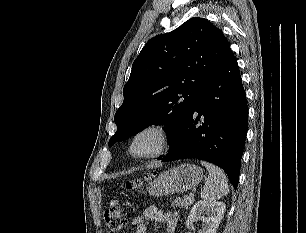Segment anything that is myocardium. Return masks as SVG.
<instances>
[{
	"label": "myocardium",
	"mask_w": 306,
	"mask_h": 233,
	"mask_svg": "<svg viewBox=\"0 0 306 233\" xmlns=\"http://www.w3.org/2000/svg\"><path fill=\"white\" fill-rule=\"evenodd\" d=\"M148 132L156 134L158 138L156 148L147 154H135L133 152V144L135 140L140 135ZM171 142H172V134L169 127L163 122L154 121L140 126L131 134L127 142L126 151L127 154L133 159L145 160V159L158 157L164 154L166 151L169 150Z\"/></svg>",
	"instance_id": "myocardium-1"
}]
</instances>
